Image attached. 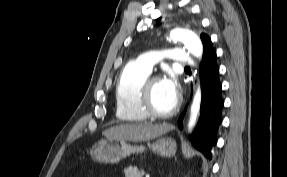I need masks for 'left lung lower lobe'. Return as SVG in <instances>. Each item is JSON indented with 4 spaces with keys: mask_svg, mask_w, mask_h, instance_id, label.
Listing matches in <instances>:
<instances>
[{
    "mask_svg": "<svg viewBox=\"0 0 287 177\" xmlns=\"http://www.w3.org/2000/svg\"><path fill=\"white\" fill-rule=\"evenodd\" d=\"M204 52L200 65V78L202 89L201 115L197 130L191 137L193 146L208 159L212 158L211 150L217 142V132L222 122L221 111L223 99L222 85L219 80V67L216 62V52L211 40L203 46ZM185 111L178 119V126L182 128Z\"/></svg>",
    "mask_w": 287,
    "mask_h": 177,
    "instance_id": "0a47b994",
    "label": "left lung lower lobe"
}]
</instances>
